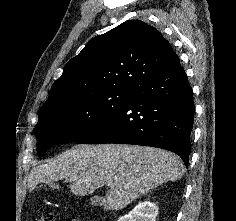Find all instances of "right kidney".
I'll use <instances>...</instances> for the list:
<instances>
[{
    "label": "right kidney",
    "mask_w": 236,
    "mask_h": 221,
    "mask_svg": "<svg viewBox=\"0 0 236 221\" xmlns=\"http://www.w3.org/2000/svg\"><path fill=\"white\" fill-rule=\"evenodd\" d=\"M158 207L150 201L139 203L131 212L121 216L118 221H155Z\"/></svg>",
    "instance_id": "ca27d5eb"
}]
</instances>
